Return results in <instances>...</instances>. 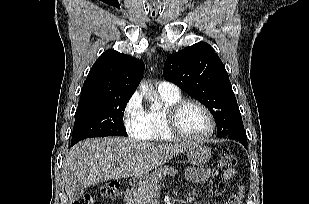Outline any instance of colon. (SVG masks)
<instances>
[{
	"label": "colon",
	"mask_w": 309,
	"mask_h": 204,
	"mask_svg": "<svg viewBox=\"0 0 309 204\" xmlns=\"http://www.w3.org/2000/svg\"><path fill=\"white\" fill-rule=\"evenodd\" d=\"M237 164V157L229 148L222 150L219 157V166L223 168L233 167ZM101 197L104 199L113 200L118 198L120 194V186L117 182H106L103 184ZM73 204H93V199L90 195H85L73 202Z\"/></svg>",
	"instance_id": "1"
}]
</instances>
